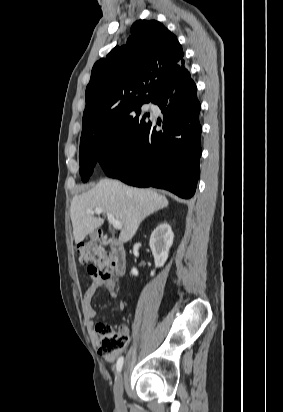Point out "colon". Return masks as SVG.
<instances>
[{
    "mask_svg": "<svg viewBox=\"0 0 283 412\" xmlns=\"http://www.w3.org/2000/svg\"><path fill=\"white\" fill-rule=\"evenodd\" d=\"M79 261L88 265L90 275L101 279H112L114 262L110 256L98 245L84 244L78 247ZM98 335L99 351L106 357L115 355L123 349L128 342V335L122 329H115L106 323L95 326Z\"/></svg>",
    "mask_w": 283,
    "mask_h": 412,
    "instance_id": "5ec220e1",
    "label": "colon"
}]
</instances>
